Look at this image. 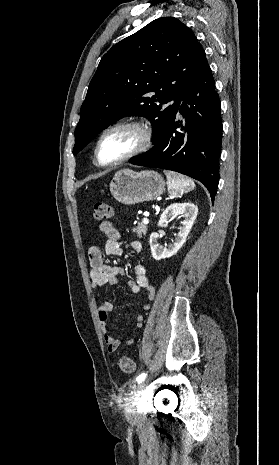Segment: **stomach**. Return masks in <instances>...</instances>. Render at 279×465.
<instances>
[{"label":"stomach","mask_w":279,"mask_h":465,"mask_svg":"<svg viewBox=\"0 0 279 465\" xmlns=\"http://www.w3.org/2000/svg\"><path fill=\"white\" fill-rule=\"evenodd\" d=\"M109 188L118 202L133 205L158 198L165 189V182L155 171L122 169L115 173Z\"/></svg>","instance_id":"stomach-1"}]
</instances>
